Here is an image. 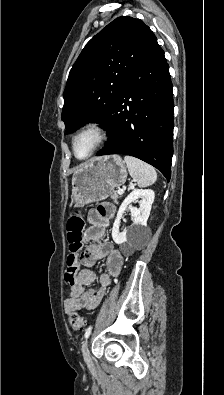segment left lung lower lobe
<instances>
[{"mask_svg":"<svg viewBox=\"0 0 224 395\" xmlns=\"http://www.w3.org/2000/svg\"><path fill=\"white\" fill-rule=\"evenodd\" d=\"M173 93L158 43L132 72L104 127L109 135L97 156L126 154L162 172L169 181L173 155Z\"/></svg>","mask_w":224,"mask_h":395,"instance_id":"0a47b994","label":"left lung lower lobe"}]
</instances>
